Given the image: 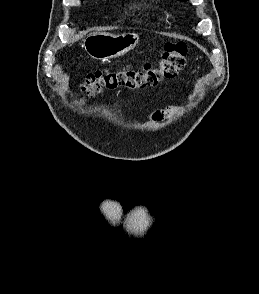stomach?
I'll list each match as a JSON object with an SVG mask.
<instances>
[{"instance_id": "obj_1", "label": "stomach", "mask_w": 259, "mask_h": 294, "mask_svg": "<svg viewBox=\"0 0 259 294\" xmlns=\"http://www.w3.org/2000/svg\"><path fill=\"white\" fill-rule=\"evenodd\" d=\"M139 42L135 33L114 35L108 32H93L84 39L86 52L94 59L107 60L120 57L134 49Z\"/></svg>"}]
</instances>
